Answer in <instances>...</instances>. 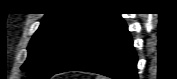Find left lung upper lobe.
<instances>
[{
    "label": "left lung upper lobe",
    "instance_id": "1",
    "mask_svg": "<svg viewBox=\"0 0 177 79\" xmlns=\"http://www.w3.org/2000/svg\"><path fill=\"white\" fill-rule=\"evenodd\" d=\"M108 14L92 11L45 14L28 46V58L22 66L33 79H49L75 45Z\"/></svg>",
    "mask_w": 177,
    "mask_h": 79
}]
</instances>
